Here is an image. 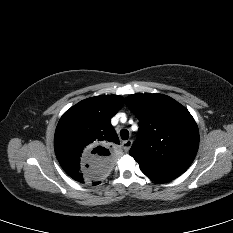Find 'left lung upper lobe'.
<instances>
[{
	"label": "left lung upper lobe",
	"mask_w": 233,
	"mask_h": 233,
	"mask_svg": "<svg viewBox=\"0 0 233 233\" xmlns=\"http://www.w3.org/2000/svg\"><path fill=\"white\" fill-rule=\"evenodd\" d=\"M125 102L139 119L129 153L140 168L184 173L199 146L198 127L189 111L163 94H133Z\"/></svg>",
	"instance_id": "1"
}]
</instances>
